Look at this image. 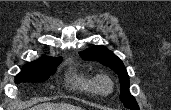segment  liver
<instances>
[{"mask_svg": "<svg viewBox=\"0 0 171 110\" xmlns=\"http://www.w3.org/2000/svg\"><path fill=\"white\" fill-rule=\"evenodd\" d=\"M31 110H82V109L78 106H74L67 103H60V104L43 103L32 107Z\"/></svg>", "mask_w": 171, "mask_h": 110, "instance_id": "liver-1", "label": "liver"}]
</instances>
